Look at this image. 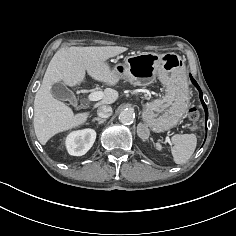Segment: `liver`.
I'll list each match as a JSON object with an SVG mask.
<instances>
[{
    "label": "liver",
    "instance_id": "1",
    "mask_svg": "<svg viewBox=\"0 0 236 236\" xmlns=\"http://www.w3.org/2000/svg\"><path fill=\"white\" fill-rule=\"evenodd\" d=\"M126 50V47L121 46H72L61 48L54 54L34 100L33 125L36 137L42 145L59 132L83 125L90 114H74L70 107L54 98L51 86L60 81L71 87L76 86L84 81L86 72L93 79L114 86L120 77L106 61ZM103 93L104 97L93 108L112 104L119 96L113 89H107Z\"/></svg>",
    "mask_w": 236,
    "mask_h": 236
}]
</instances>
